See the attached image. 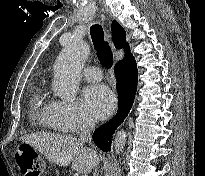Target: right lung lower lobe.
Returning <instances> with one entry per match:
<instances>
[{
	"label": "right lung lower lobe",
	"instance_id": "1",
	"mask_svg": "<svg viewBox=\"0 0 205 176\" xmlns=\"http://www.w3.org/2000/svg\"><path fill=\"white\" fill-rule=\"evenodd\" d=\"M115 70L119 97L117 114L111 121L98 128L93 134L95 144L104 152L110 151L113 132L127 117L133 105L137 89V66L133 56L121 60L116 64Z\"/></svg>",
	"mask_w": 205,
	"mask_h": 176
}]
</instances>
